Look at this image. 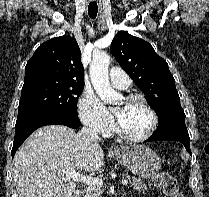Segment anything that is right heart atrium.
Segmentation results:
<instances>
[{"mask_svg":"<svg viewBox=\"0 0 209 197\" xmlns=\"http://www.w3.org/2000/svg\"><path fill=\"white\" fill-rule=\"evenodd\" d=\"M78 114L83 124L98 134H109L114 127L112 115L98 97L88 90L80 95Z\"/></svg>","mask_w":209,"mask_h":197,"instance_id":"1","label":"right heart atrium"}]
</instances>
